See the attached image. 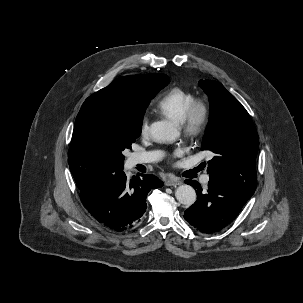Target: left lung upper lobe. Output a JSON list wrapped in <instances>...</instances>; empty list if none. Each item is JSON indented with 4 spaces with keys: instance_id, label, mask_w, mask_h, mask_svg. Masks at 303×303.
<instances>
[{
    "instance_id": "obj_1",
    "label": "left lung upper lobe",
    "mask_w": 303,
    "mask_h": 303,
    "mask_svg": "<svg viewBox=\"0 0 303 303\" xmlns=\"http://www.w3.org/2000/svg\"><path fill=\"white\" fill-rule=\"evenodd\" d=\"M210 101V118L201 150L215 156L208 161L207 172L231 183L252 196L256 188L255 161L259 139L246 109L213 80H200Z\"/></svg>"
}]
</instances>
